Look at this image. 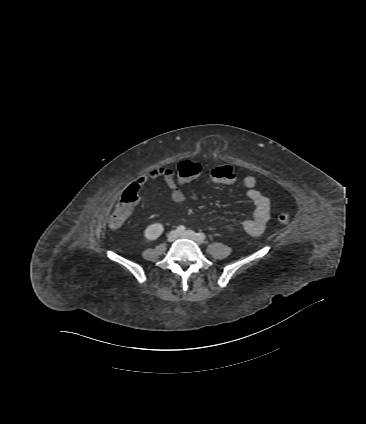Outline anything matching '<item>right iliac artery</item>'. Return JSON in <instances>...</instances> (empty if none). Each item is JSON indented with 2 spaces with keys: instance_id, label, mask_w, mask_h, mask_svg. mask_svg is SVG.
Returning <instances> with one entry per match:
<instances>
[{
  "instance_id": "obj_1",
  "label": "right iliac artery",
  "mask_w": 366,
  "mask_h": 424,
  "mask_svg": "<svg viewBox=\"0 0 366 424\" xmlns=\"http://www.w3.org/2000/svg\"><path fill=\"white\" fill-rule=\"evenodd\" d=\"M177 231L178 232H184L185 231V227L183 225H180L177 227Z\"/></svg>"
}]
</instances>
